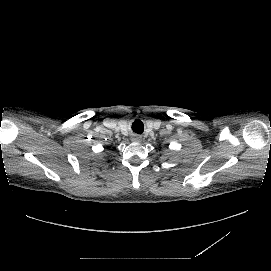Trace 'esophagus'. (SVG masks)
Masks as SVG:
<instances>
[{"mask_svg":"<svg viewBox=\"0 0 271 271\" xmlns=\"http://www.w3.org/2000/svg\"><path fill=\"white\" fill-rule=\"evenodd\" d=\"M130 139L134 143H139L142 141V137L140 135H132Z\"/></svg>","mask_w":271,"mask_h":271,"instance_id":"obj_1","label":"esophagus"}]
</instances>
